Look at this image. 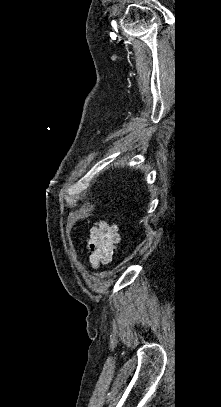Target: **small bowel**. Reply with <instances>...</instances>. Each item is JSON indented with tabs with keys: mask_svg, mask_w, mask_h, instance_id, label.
Segmentation results:
<instances>
[{
	"mask_svg": "<svg viewBox=\"0 0 221 407\" xmlns=\"http://www.w3.org/2000/svg\"><path fill=\"white\" fill-rule=\"evenodd\" d=\"M120 239L115 225L100 221L93 226L85 238V246L91 265L97 267L101 263L110 261Z\"/></svg>",
	"mask_w": 221,
	"mask_h": 407,
	"instance_id": "small-bowel-1",
	"label": "small bowel"
}]
</instances>
